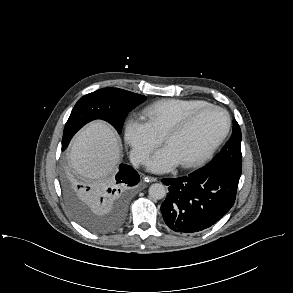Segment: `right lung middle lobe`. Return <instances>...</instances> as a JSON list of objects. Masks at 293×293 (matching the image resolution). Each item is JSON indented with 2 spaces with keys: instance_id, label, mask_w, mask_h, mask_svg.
<instances>
[{
  "instance_id": "obj_1",
  "label": "right lung middle lobe",
  "mask_w": 293,
  "mask_h": 293,
  "mask_svg": "<svg viewBox=\"0 0 293 293\" xmlns=\"http://www.w3.org/2000/svg\"><path fill=\"white\" fill-rule=\"evenodd\" d=\"M146 99L145 96L119 88H103L80 98L64 128L62 150L73 135L86 123L102 119L121 132L129 111ZM81 185L70 177L63 178L62 188L66 203L74 218L88 230L104 233L118 223L107 214H98L82 200Z\"/></svg>"
}]
</instances>
